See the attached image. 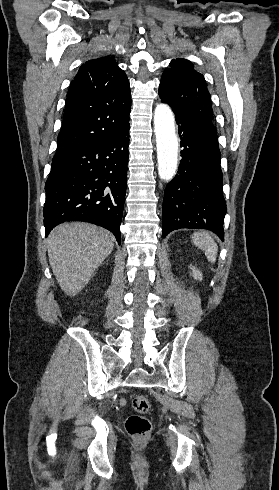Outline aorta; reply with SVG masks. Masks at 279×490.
<instances>
[{"label": "aorta", "instance_id": "762f6f07", "mask_svg": "<svg viewBox=\"0 0 279 490\" xmlns=\"http://www.w3.org/2000/svg\"><path fill=\"white\" fill-rule=\"evenodd\" d=\"M158 174L162 180L170 181L176 174L178 164V138L174 114L166 104H159L154 111Z\"/></svg>", "mask_w": 279, "mask_h": 490}]
</instances>
